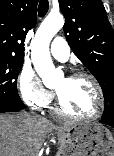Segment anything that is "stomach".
<instances>
[{"instance_id":"1","label":"stomach","mask_w":114,"mask_h":156,"mask_svg":"<svg viewBox=\"0 0 114 156\" xmlns=\"http://www.w3.org/2000/svg\"><path fill=\"white\" fill-rule=\"evenodd\" d=\"M60 143L57 156H114V137L100 124H75L57 129Z\"/></svg>"}]
</instances>
